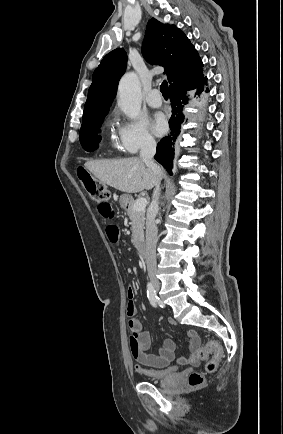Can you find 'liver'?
Listing matches in <instances>:
<instances>
[{"label":"liver","instance_id":"6515ba94","mask_svg":"<svg viewBox=\"0 0 283 434\" xmlns=\"http://www.w3.org/2000/svg\"><path fill=\"white\" fill-rule=\"evenodd\" d=\"M84 168L101 183L125 193L151 190L162 175L161 169L156 174L138 157L91 160L84 164Z\"/></svg>","mask_w":283,"mask_h":434}]
</instances>
